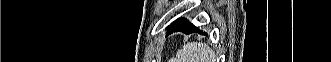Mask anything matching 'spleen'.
<instances>
[{
  "label": "spleen",
  "instance_id": "spleen-1",
  "mask_svg": "<svg viewBox=\"0 0 331 62\" xmlns=\"http://www.w3.org/2000/svg\"><path fill=\"white\" fill-rule=\"evenodd\" d=\"M208 51V48L201 46L200 43H188L178 51L177 57L179 62H205L204 60L209 56Z\"/></svg>",
  "mask_w": 331,
  "mask_h": 62
}]
</instances>
